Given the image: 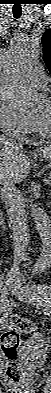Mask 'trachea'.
I'll return each mask as SVG.
<instances>
[{
  "label": "trachea",
  "mask_w": 51,
  "mask_h": 393,
  "mask_svg": "<svg viewBox=\"0 0 51 393\" xmlns=\"http://www.w3.org/2000/svg\"><path fill=\"white\" fill-rule=\"evenodd\" d=\"M21 15L20 14H14V18L18 19Z\"/></svg>",
  "instance_id": "trachea-1"
}]
</instances>
